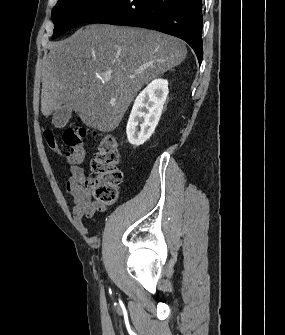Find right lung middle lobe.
<instances>
[{"label":"right lung middle lobe","instance_id":"dd1d6c3e","mask_svg":"<svg viewBox=\"0 0 285 335\" xmlns=\"http://www.w3.org/2000/svg\"><path fill=\"white\" fill-rule=\"evenodd\" d=\"M119 0H58L52 10L55 28L52 39L87 22Z\"/></svg>","mask_w":285,"mask_h":335}]
</instances>
